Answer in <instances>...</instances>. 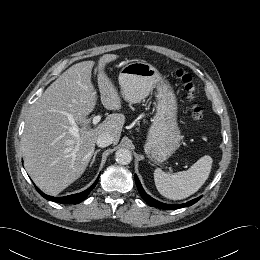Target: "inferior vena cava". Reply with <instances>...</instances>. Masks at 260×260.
Returning a JSON list of instances; mask_svg holds the SVG:
<instances>
[{
    "mask_svg": "<svg viewBox=\"0 0 260 260\" xmlns=\"http://www.w3.org/2000/svg\"><path fill=\"white\" fill-rule=\"evenodd\" d=\"M113 143V137L108 133H103L97 137L96 144L99 147H106Z\"/></svg>",
    "mask_w": 260,
    "mask_h": 260,
    "instance_id": "inferior-vena-cava-1",
    "label": "inferior vena cava"
}]
</instances>
